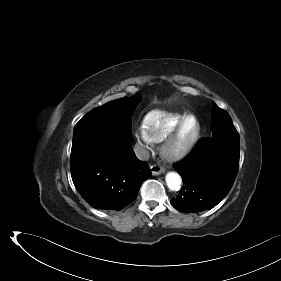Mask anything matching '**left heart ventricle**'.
<instances>
[{
  "label": "left heart ventricle",
  "instance_id": "1",
  "mask_svg": "<svg viewBox=\"0 0 281 281\" xmlns=\"http://www.w3.org/2000/svg\"><path fill=\"white\" fill-rule=\"evenodd\" d=\"M196 130V122L194 119H188L184 124L179 136V142H185L189 140Z\"/></svg>",
  "mask_w": 281,
  "mask_h": 281
}]
</instances>
